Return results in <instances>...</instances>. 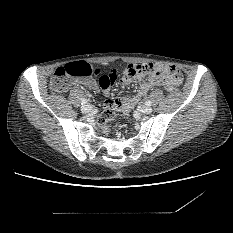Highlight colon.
I'll return each instance as SVG.
<instances>
[{"label": "colon", "instance_id": "5ec220e1", "mask_svg": "<svg viewBox=\"0 0 233 233\" xmlns=\"http://www.w3.org/2000/svg\"><path fill=\"white\" fill-rule=\"evenodd\" d=\"M160 69L165 72L175 71V67L169 64H163ZM157 72V67L152 64H129L123 71V79L125 81L132 78L152 77ZM101 73L99 67L87 61H78L62 67H59L53 73L50 80V90L55 93H61L67 90L74 78H87ZM115 114L112 110L104 111L98 117V125L104 133H109V123L113 120Z\"/></svg>", "mask_w": 233, "mask_h": 233}]
</instances>
